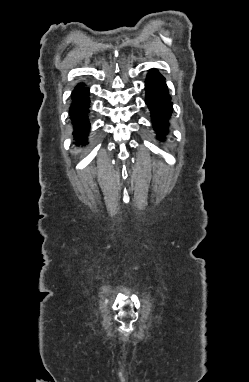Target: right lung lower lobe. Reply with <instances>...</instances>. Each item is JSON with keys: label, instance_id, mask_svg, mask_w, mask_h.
<instances>
[{"label": "right lung lower lobe", "instance_id": "1", "mask_svg": "<svg viewBox=\"0 0 249 382\" xmlns=\"http://www.w3.org/2000/svg\"><path fill=\"white\" fill-rule=\"evenodd\" d=\"M89 89L83 84L75 87L72 95V102L69 109L70 119L74 126V139L76 145L85 144L90 127L88 120L89 112Z\"/></svg>", "mask_w": 249, "mask_h": 382}]
</instances>
